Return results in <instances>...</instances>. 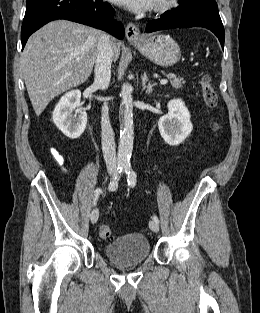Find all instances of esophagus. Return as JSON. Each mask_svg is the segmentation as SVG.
I'll return each mask as SVG.
<instances>
[{"instance_id": "obj_1", "label": "esophagus", "mask_w": 260, "mask_h": 313, "mask_svg": "<svg viewBox=\"0 0 260 313\" xmlns=\"http://www.w3.org/2000/svg\"><path fill=\"white\" fill-rule=\"evenodd\" d=\"M126 37L130 42L139 41L141 39L139 28L135 24L129 23L126 26Z\"/></svg>"}]
</instances>
